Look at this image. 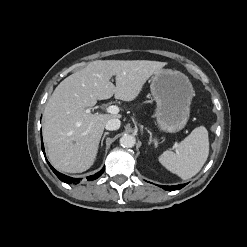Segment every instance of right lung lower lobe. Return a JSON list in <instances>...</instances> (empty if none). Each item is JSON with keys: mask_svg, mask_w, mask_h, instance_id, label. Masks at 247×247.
Wrapping results in <instances>:
<instances>
[{"mask_svg": "<svg viewBox=\"0 0 247 247\" xmlns=\"http://www.w3.org/2000/svg\"><path fill=\"white\" fill-rule=\"evenodd\" d=\"M42 151L44 153V156H45V152H44V145H43V141H42ZM47 161V159H46ZM50 168L53 170V172L56 174V176L62 181V182H65V183H75V182H78L80 179H77V178H72V177H69V176H66L64 174H61L59 173L58 171H56L51 165L50 163L48 162ZM104 172V168L100 171V172H97L95 175H91V176H88L87 177V180L88 181H92V180H95L97 179L98 177H100L102 175V173Z\"/></svg>", "mask_w": 247, "mask_h": 247, "instance_id": "obj_1", "label": "right lung lower lobe"}]
</instances>
